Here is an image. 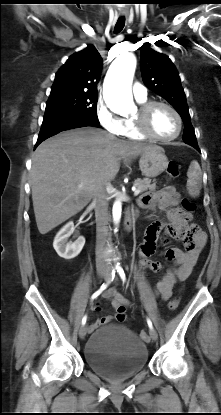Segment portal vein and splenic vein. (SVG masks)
Segmentation results:
<instances>
[{"mask_svg":"<svg viewBox=\"0 0 221 415\" xmlns=\"http://www.w3.org/2000/svg\"><path fill=\"white\" fill-rule=\"evenodd\" d=\"M82 187V185H80ZM134 196H137L140 193V190L137 188H133Z\"/></svg>","mask_w":221,"mask_h":415,"instance_id":"portal-vein-and-splenic-vein-1","label":"portal vein and splenic vein"}]
</instances>
